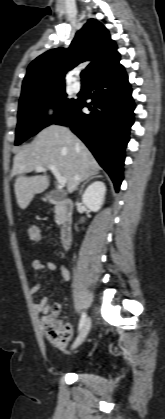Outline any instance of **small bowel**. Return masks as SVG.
Listing matches in <instances>:
<instances>
[{"instance_id":"1","label":"small bowel","mask_w":165,"mask_h":419,"mask_svg":"<svg viewBox=\"0 0 165 419\" xmlns=\"http://www.w3.org/2000/svg\"><path fill=\"white\" fill-rule=\"evenodd\" d=\"M32 267V273H33V281L34 284L30 287V293L35 294L37 293L41 288V282H40V274L42 272H54L57 269H59L62 277L63 282H68L70 280V273L68 269L64 265H57L54 261H46L41 262L39 259H34L31 264ZM50 304V297L44 296L42 297L36 304L35 309L38 313L41 314H47L48 308ZM67 344L65 345H56L58 350L64 351L67 348Z\"/></svg>"}]
</instances>
